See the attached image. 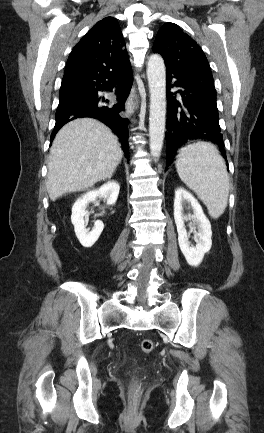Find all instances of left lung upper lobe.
Masks as SVG:
<instances>
[{
    "instance_id": "left-lung-upper-lobe-1",
    "label": "left lung upper lobe",
    "mask_w": 264,
    "mask_h": 433,
    "mask_svg": "<svg viewBox=\"0 0 264 433\" xmlns=\"http://www.w3.org/2000/svg\"><path fill=\"white\" fill-rule=\"evenodd\" d=\"M153 51L162 55L166 68L179 75L214 82L202 49L178 25L169 22L159 29Z\"/></svg>"
}]
</instances>
